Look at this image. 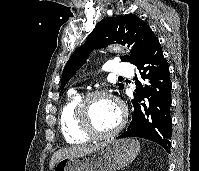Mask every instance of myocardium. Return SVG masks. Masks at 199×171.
Listing matches in <instances>:
<instances>
[{"mask_svg":"<svg viewBox=\"0 0 199 171\" xmlns=\"http://www.w3.org/2000/svg\"><path fill=\"white\" fill-rule=\"evenodd\" d=\"M113 99V96L105 90L90 91L82 96L77 105V117L82 132L91 138L102 139L117 135L125 126L127 121V110L119 103L120 118L117 125L109 131L101 132L95 129L91 118V103L97 98Z\"/></svg>","mask_w":199,"mask_h":171,"instance_id":"obj_1","label":"myocardium"}]
</instances>
